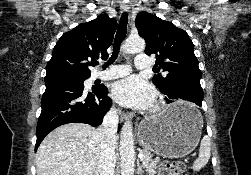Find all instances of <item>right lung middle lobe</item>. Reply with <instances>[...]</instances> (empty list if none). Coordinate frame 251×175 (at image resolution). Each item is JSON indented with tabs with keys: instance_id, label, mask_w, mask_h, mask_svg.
<instances>
[{
	"instance_id": "obj_1",
	"label": "right lung middle lobe",
	"mask_w": 251,
	"mask_h": 175,
	"mask_svg": "<svg viewBox=\"0 0 251 175\" xmlns=\"http://www.w3.org/2000/svg\"><path fill=\"white\" fill-rule=\"evenodd\" d=\"M87 78H70V79H60L58 81H72V82H82Z\"/></svg>"
}]
</instances>
